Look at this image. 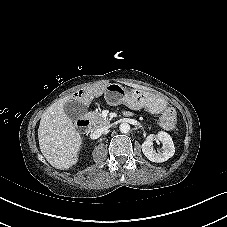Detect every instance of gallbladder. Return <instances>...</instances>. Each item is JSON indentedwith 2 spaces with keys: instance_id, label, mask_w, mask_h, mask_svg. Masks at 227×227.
Here are the masks:
<instances>
[{
  "instance_id": "gallbladder-1",
  "label": "gallbladder",
  "mask_w": 227,
  "mask_h": 227,
  "mask_svg": "<svg viewBox=\"0 0 227 227\" xmlns=\"http://www.w3.org/2000/svg\"><path fill=\"white\" fill-rule=\"evenodd\" d=\"M65 113L73 121L87 112V107L84 103L77 101H69L64 105Z\"/></svg>"
}]
</instances>
